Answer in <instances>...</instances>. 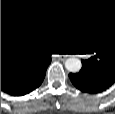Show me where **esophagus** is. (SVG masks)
I'll return each mask as SVG.
<instances>
[{
  "mask_svg": "<svg viewBox=\"0 0 115 114\" xmlns=\"http://www.w3.org/2000/svg\"><path fill=\"white\" fill-rule=\"evenodd\" d=\"M58 59H59L60 61H64V60H65V57H64V56H59Z\"/></svg>",
  "mask_w": 115,
  "mask_h": 114,
  "instance_id": "esophagus-1",
  "label": "esophagus"
}]
</instances>
